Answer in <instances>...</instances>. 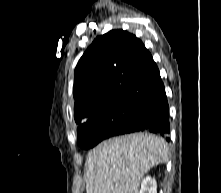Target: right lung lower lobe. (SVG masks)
Here are the masks:
<instances>
[{
	"mask_svg": "<svg viewBox=\"0 0 221 193\" xmlns=\"http://www.w3.org/2000/svg\"><path fill=\"white\" fill-rule=\"evenodd\" d=\"M152 132L169 141V108L162 80L146 100L145 111L130 125L120 129L114 136L133 132Z\"/></svg>",
	"mask_w": 221,
	"mask_h": 193,
	"instance_id": "98d812e1",
	"label": "right lung lower lobe"
}]
</instances>
